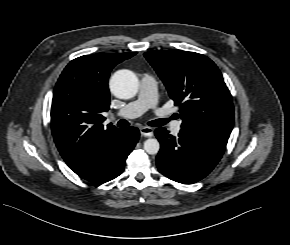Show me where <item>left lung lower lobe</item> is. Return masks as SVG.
<instances>
[{
	"mask_svg": "<svg viewBox=\"0 0 290 245\" xmlns=\"http://www.w3.org/2000/svg\"><path fill=\"white\" fill-rule=\"evenodd\" d=\"M155 135L161 144L156 157L158 170L183 184H193L206 177L226 149V144L183 129L177 137L165 128H157Z\"/></svg>",
	"mask_w": 290,
	"mask_h": 245,
	"instance_id": "0a47b994",
	"label": "left lung lower lobe"
}]
</instances>
